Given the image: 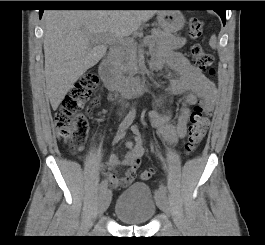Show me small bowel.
<instances>
[{"label": "small bowel", "instance_id": "c3829d8e", "mask_svg": "<svg viewBox=\"0 0 265 245\" xmlns=\"http://www.w3.org/2000/svg\"><path fill=\"white\" fill-rule=\"evenodd\" d=\"M150 67L153 70L167 69L174 74L169 79L164 92L154 99V110L149 113V120L159 136L165 142L174 144L187 134L191 119V108L197 104L199 98L207 95L213 89V86L198 68L178 52L170 53L165 57L153 55L150 60ZM175 96L181 97V105L176 125H172L174 112L171 99ZM131 132L134 141L125 143L126 155L121 158L111 152L106 165L101 167L102 175L114 188H125L133 183L144 154L143 142L138 129L132 127ZM125 133L126 130L117 131L112 144L118 143L125 136ZM119 165L126 166L123 176L115 172V168Z\"/></svg>", "mask_w": 265, "mask_h": 245}]
</instances>
